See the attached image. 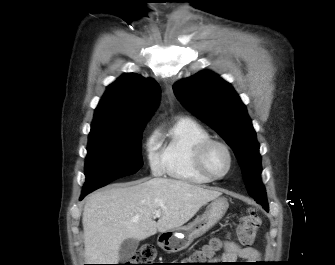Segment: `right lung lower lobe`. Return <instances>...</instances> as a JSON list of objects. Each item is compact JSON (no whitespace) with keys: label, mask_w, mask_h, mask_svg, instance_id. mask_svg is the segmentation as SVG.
Wrapping results in <instances>:
<instances>
[{"label":"right lung lower lobe","mask_w":335,"mask_h":265,"mask_svg":"<svg viewBox=\"0 0 335 265\" xmlns=\"http://www.w3.org/2000/svg\"><path fill=\"white\" fill-rule=\"evenodd\" d=\"M88 193H82L81 194V197H80V200H82Z\"/></svg>","instance_id":"98d812e1"}]
</instances>
